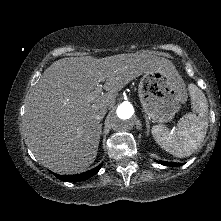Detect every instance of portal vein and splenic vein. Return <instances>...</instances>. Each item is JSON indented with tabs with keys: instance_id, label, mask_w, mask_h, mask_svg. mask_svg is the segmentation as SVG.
Returning <instances> with one entry per match:
<instances>
[{
	"instance_id": "obj_1",
	"label": "portal vein and splenic vein",
	"mask_w": 221,
	"mask_h": 221,
	"mask_svg": "<svg viewBox=\"0 0 221 221\" xmlns=\"http://www.w3.org/2000/svg\"><path fill=\"white\" fill-rule=\"evenodd\" d=\"M105 78L101 77L97 83V87L95 88V90L93 92H91L90 94V99H94L96 98L98 95H100L101 91H102V84H100V82H104Z\"/></svg>"
}]
</instances>
